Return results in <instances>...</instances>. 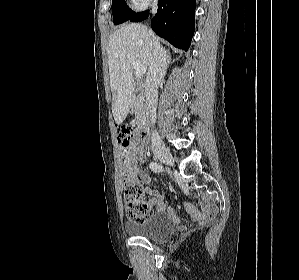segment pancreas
Masks as SVG:
<instances>
[{
    "label": "pancreas",
    "instance_id": "1",
    "mask_svg": "<svg viewBox=\"0 0 299 280\" xmlns=\"http://www.w3.org/2000/svg\"><path fill=\"white\" fill-rule=\"evenodd\" d=\"M134 113L137 125H141L145 118L146 107L140 96L134 98Z\"/></svg>",
    "mask_w": 299,
    "mask_h": 280
}]
</instances>
